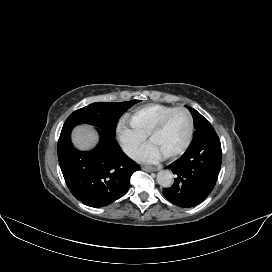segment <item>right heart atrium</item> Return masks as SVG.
<instances>
[{"label":"right heart atrium","mask_w":272,"mask_h":272,"mask_svg":"<svg viewBox=\"0 0 272 272\" xmlns=\"http://www.w3.org/2000/svg\"><path fill=\"white\" fill-rule=\"evenodd\" d=\"M117 134L125 153L136 158L143 149L147 136L130 127L124 120L118 123Z\"/></svg>","instance_id":"right-heart-atrium-1"}]
</instances>
